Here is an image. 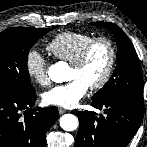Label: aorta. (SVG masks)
Masks as SVG:
<instances>
[{
  "label": "aorta",
  "mask_w": 147,
  "mask_h": 147,
  "mask_svg": "<svg viewBox=\"0 0 147 147\" xmlns=\"http://www.w3.org/2000/svg\"><path fill=\"white\" fill-rule=\"evenodd\" d=\"M68 65L63 62L52 64L48 68V76L55 83H62L67 80L66 73ZM78 118L73 114H65L60 118V126L65 131H74L78 127Z\"/></svg>",
  "instance_id": "aorta-1"
}]
</instances>
